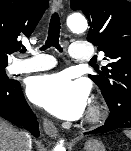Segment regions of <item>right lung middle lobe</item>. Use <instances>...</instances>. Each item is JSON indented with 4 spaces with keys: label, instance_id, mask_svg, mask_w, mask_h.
Segmentation results:
<instances>
[{
    "label": "right lung middle lobe",
    "instance_id": "right-lung-middle-lobe-1",
    "mask_svg": "<svg viewBox=\"0 0 131 151\" xmlns=\"http://www.w3.org/2000/svg\"><path fill=\"white\" fill-rule=\"evenodd\" d=\"M7 66V63H0V83H5L12 81V79H9L5 72V67Z\"/></svg>",
    "mask_w": 131,
    "mask_h": 151
}]
</instances>
